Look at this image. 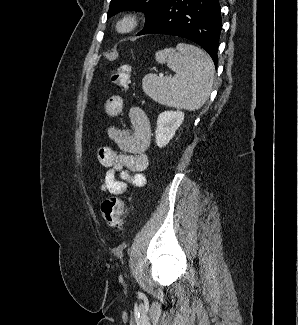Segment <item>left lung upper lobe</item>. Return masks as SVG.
<instances>
[{
    "label": "left lung upper lobe",
    "mask_w": 298,
    "mask_h": 325,
    "mask_svg": "<svg viewBox=\"0 0 298 325\" xmlns=\"http://www.w3.org/2000/svg\"><path fill=\"white\" fill-rule=\"evenodd\" d=\"M168 0H111L108 17L127 9H137L146 15V23L150 22Z\"/></svg>",
    "instance_id": "left-lung-upper-lobe-1"
}]
</instances>
